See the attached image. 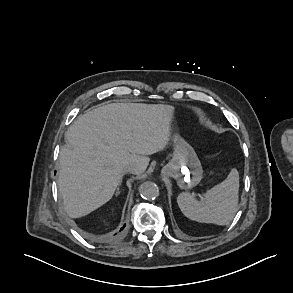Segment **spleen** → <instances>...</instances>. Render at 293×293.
<instances>
[{
    "mask_svg": "<svg viewBox=\"0 0 293 293\" xmlns=\"http://www.w3.org/2000/svg\"><path fill=\"white\" fill-rule=\"evenodd\" d=\"M239 173L233 168L227 178L208 190L204 199L197 200L193 194L183 192L177 197L182 213L200 223L228 225L238 206Z\"/></svg>",
    "mask_w": 293,
    "mask_h": 293,
    "instance_id": "3e777b00",
    "label": "spleen"
}]
</instances>
